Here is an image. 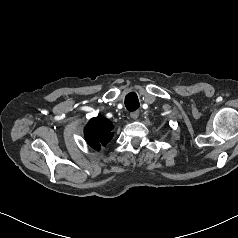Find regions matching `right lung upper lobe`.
<instances>
[{
	"instance_id": "right-lung-upper-lobe-1",
	"label": "right lung upper lobe",
	"mask_w": 238,
	"mask_h": 238,
	"mask_svg": "<svg viewBox=\"0 0 238 238\" xmlns=\"http://www.w3.org/2000/svg\"><path fill=\"white\" fill-rule=\"evenodd\" d=\"M113 128L112 122L104 117L92 118L84 129L87 143L94 149L105 146L113 137Z\"/></svg>"
}]
</instances>
